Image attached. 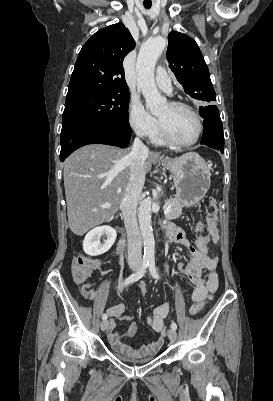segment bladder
<instances>
[{
  "label": "bladder",
  "mask_w": 273,
  "mask_h": 401,
  "mask_svg": "<svg viewBox=\"0 0 273 401\" xmlns=\"http://www.w3.org/2000/svg\"><path fill=\"white\" fill-rule=\"evenodd\" d=\"M113 355L119 360V361H121V362H123V363H129V364H143V363H148V362H150V361H152V360H154L155 359V355H151V356H148V357H146V358H143V359H140V360H132V359H129V358H127V357H124V356H122V355H120V354H118V353H113Z\"/></svg>",
  "instance_id": "bladder-1"
}]
</instances>
